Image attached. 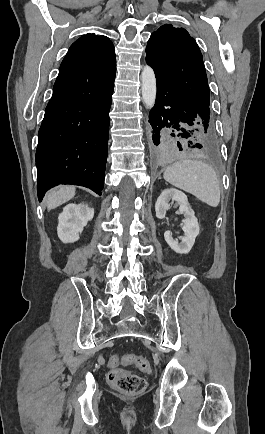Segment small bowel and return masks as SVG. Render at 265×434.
Listing matches in <instances>:
<instances>
[{
	"mask_svg": "<svg viewBox=\"0 0 265 434\" xmlns=\"http://www.w3.org/2000/svg\"><path fill=\"white\" fill-rule=\"evenodd\" d=\"M119 364H121V363L120 362H115L111 358L108 361V367L109 368L117 367Z\"/></svg>",
	"mask_w": 265,
	"mask_h": 434,
	"instance_id": "obj_1",
	"label": "small bowel"
}]
</instances>
